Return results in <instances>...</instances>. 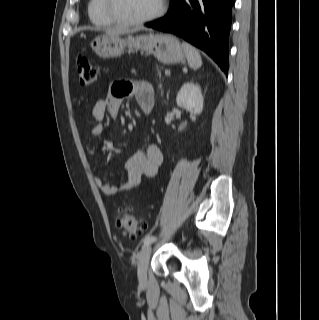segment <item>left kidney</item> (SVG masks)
Here are the masks:
<instances>
[{"label":"left kidney","instance_id":"5707ae66","mask_svg":"<svg viewBox=\"0 0 319 320\" xmlns=\"http://www.w3.org/2000/svg\"><path fill=\"white\" fill-rule=\"evenodd\" d=\"M177 106L185 108L192 115H199L203 110V96L198 84L187 82L179 90Z\"/></svg>","mask_w":319,"mask_h":320}]
</instances>
